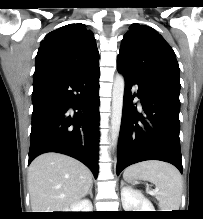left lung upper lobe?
<instances>
[{"instance_id": "1", "label": "left lung upper lobe", "mask_w": 203, "mask_h": 219, "mask_svg": "<svg viewBox=\"0 0 203 219\" xmlns=\"http://www.w3.org/2000/svg\"><path fill=\"white\" fill-rule=\"evenodd\" d=\"M117 66L139 78L180 89L179 65L173 49L146 25L130 26L122 40Z\"/></svg>"}]
</instances>
